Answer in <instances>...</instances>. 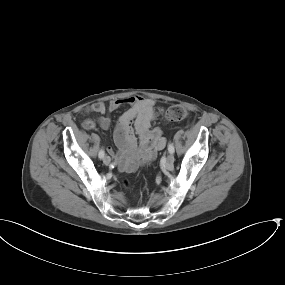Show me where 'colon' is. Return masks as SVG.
Segmentation results:
<instances>
[{
    "label": "colon",
    "mask_w": 285,
    "mask_h": 285,
    "mask_svg": "<svg viewBox=\"0 0 285 285\" xmlns=\"http://www.w3.org/2000/svg\"><path fill=\"white\" fill-rule=\"evenodd\" d=\"M187 115V111L186 109L181 106V105H173L170 108H168V110L166 111V118L170 121H177V120H181L183 118H185ZM123 184L125 186L129 185V181L128 180H123Z\"/></svg>",
    "instance_id": "colon-1"
}]
</instances>
